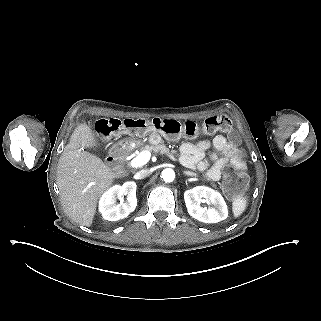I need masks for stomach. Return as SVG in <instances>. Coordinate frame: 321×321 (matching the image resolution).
Wrapping results in <instances>:
<instances>
[{"label":"stomach","mask_w":321,"mask_h":321,"mask_svg":"<svg viewBox=\"0 0 321 321\" xmlns=\"http://www.w3.org/2000/svg\"><path fill=\"white\" fill-rule=\"evenodd\" d=\"M136 140H139V139H136V138H126V139H122L120 141H118L114 147L119 149L121 147H125L131 143H134Z\"/></svg>","instance_id":"stomach-1"}]
</instances>
